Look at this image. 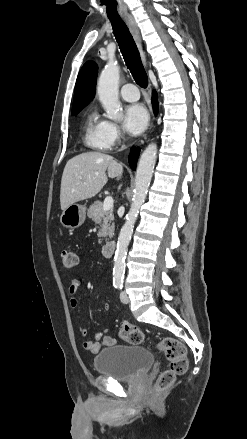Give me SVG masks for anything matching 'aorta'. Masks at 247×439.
<instances>
[{"instance_id":"obj_1","label":"aorta","mask_w":247,"mask_h":439,"mask_svg":"<svg viewBox=\"0 0 247 439\" xmlns=\"http://www.w3.org/2000/svg\"><path fill=\"white\" fill-rule=\"evenodd\" d=\"M119 73L120 68L117 62L109 60L101 72L97 85L99 99L106 111L107 117L112 120L121 118L120 102L118 99ZM156 158L157 145L151 143L146 147L140 157L135 176L132 204L118 236L113 268V283L115 284H121L123 282L127 248L131 240L139 210L148 192Z\"/></svg>"}]
</instances>
